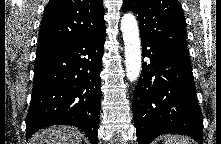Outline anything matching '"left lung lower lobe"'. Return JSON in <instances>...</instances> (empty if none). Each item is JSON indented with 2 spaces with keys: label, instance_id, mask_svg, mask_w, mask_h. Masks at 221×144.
Here are the masks:
<instances>
[{
  "label": "left lung lower lobe",
  "instance_id": "0a47b994",
  "mask_svg": "<svg viewBox=\"0 0 221 144\" xmlns=\"http://www.w3.org/2000/svg\"><path fill=\"white\" fill-rule=\"evenodd\" d=\"M142 56L150 62L142 73L133 96V116L138 144L172 133L203 139V117L196 100L189 53L141 39Z\"/></svg>",
  "mask_w": 221,
  "mask_h": 144
}]
</instances>
